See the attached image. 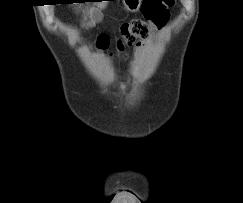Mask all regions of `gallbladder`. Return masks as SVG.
<instances>
[{
    "mask_svg": "<svg viewBox=\"0 0 243 203\" xmlns=\"http://www.w3.org/2000/svg\"><path fill=\"white\" fill-rule=\"evenodd\" d=\"M93 19H94L95 22H100L101 19H102V16H101L100 13L95 12L94 15H93Z\"/></svg>",
    "mask_w": 243,
    "mask_h": 203,
    "instance_id": "1",
    "label": "gallbladder"
}]
</instances>
